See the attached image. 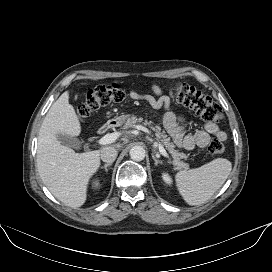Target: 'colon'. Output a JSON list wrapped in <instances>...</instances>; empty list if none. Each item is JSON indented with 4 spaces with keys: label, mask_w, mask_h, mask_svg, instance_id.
<instances>
[{
    "label": "colon",
    "mask_w": 272,
    "mask_h": 272,
    "mask_svg": "<svg viewBox=\"0 0 272 272\" xmlns=\"http://www.w3.org/2000/svg\"><path fill=\"white\" fill-rule=\"evenodd\" d=\"M176 100L182 105L193 110L205 120H219L222 118L220 106L209 96L187 83H178L174 89ZM125 98V91L116 83L100 85L89 90L85 100L78 107L80 116H87L92 111L113 103L122 101ZM224 145L214 139L209 142L207 152L210 156H217L223 153Z\"/></svg>",
    "instance_id": "1"
}]
</instances>
